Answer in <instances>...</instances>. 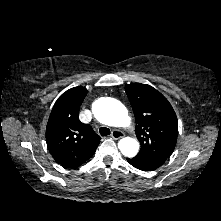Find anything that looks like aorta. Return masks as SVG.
<instances>
[{
    "label": "aorta",
    "instance_id": "obj_1",
    "mask_svg": "<svg viewBox=\"0 0 221 221\" xmlns=\"http://www.w3.org/2000/svg\"><path fill=\"white\" fill-rule=\"evenodd\" d=\"M94 116L99 122L113 127H126L130 124V117L126 107L116 99L100 98L92 106ZM118 148L126 157H134L139 151L136 139L125 137L118 142Z\"/></svg>",
    "mask_w": 221,
    "mask_h": 221
}]
</instances>
